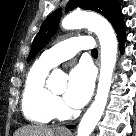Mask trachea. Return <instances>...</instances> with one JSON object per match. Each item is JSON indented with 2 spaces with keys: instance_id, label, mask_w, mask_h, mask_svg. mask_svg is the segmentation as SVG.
<instances>
[{
  "instance_id": "1",
  "label": "trachea",
  "mask_w": 136,
  "mask_h": 136,
  "mask_svg": "<svg viewBox=\"0 0 136 136\" xmlns=\"http://www.w3.org/2000/svg\"><path fill=\"white\" fill-rule=\"evenodd\" d=\"M91 54H92L93 56H97V55H98V50H97V49H93V50L91 51Z\"/></svg>"
}]
</instances>
